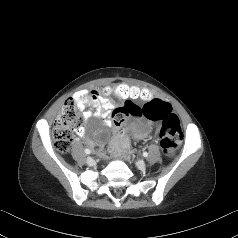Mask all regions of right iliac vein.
Instances as JSON below:
<instances>
[{"instance_id": "63e3f726", "label": "right iliac vein", "mask_w": 238, "mask_h": 238, "mask_svg": "<svg viewBox=\"0 0 238 238\" xmlns=\"http://www.w3.org/2000/svg\"><path fill=\"white\" fill-rule=\"evenodd\" d=\"M86 163L88 165H92L94 163V160L91 157H88L87 160H86Z\"/></svg>"}]
</instances>
